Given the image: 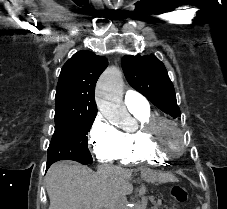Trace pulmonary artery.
Masks as SVG:
<instances>
[{
	"label": "pulmonary artery",
	"instance_id": "pulmonary-artery-1",
	"mask_svg": "<svg viewBox=\"0 0 227 209\" xmlns=\"http://www.w3.org/2000/svg\"><path fill=\"white\" fill-rule=\"evenodd\" d=\"M124 103L129 108H144L149 105V100H145V95H140V91L131 88L125 91Z\"/></svg>",
	"mask_w": 227,
	"mask_h": 209
}]
</instances>
